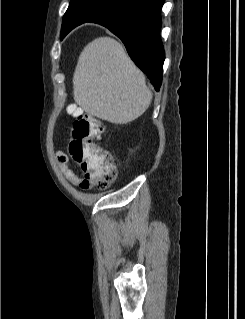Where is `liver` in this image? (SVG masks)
I'll use <instances>...</instances> for the list:
<instances>
[{"label":"liver","mask_w":245,"mask_h":319,"mask_svg":"<svg viewBox=\"0 0 245 319\" xmlns=\"http://www.w3.org/2000/svg\"><path fill=\"white\" fill-rule=\"evenodd\" d=\"M76 104L89 115L113 124L141 116L152 101L145 75L124 47L110 37H99L81 52L73 75Z\"/></svg>","instance_id":"1"}]
</instances>
